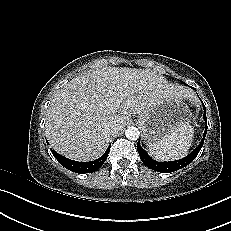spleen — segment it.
Masks as SVG:
<instances>
[{"mask_svg": "<svg viewBox=\"0 0 231 231\" xmlns=\"http://www.w3.org/2000/svg\"><path fill=\"white\" fill-rule=\"evenodd\" d=\"M194 139V128L184 125L156 143L148 145L151 155L161 161L178 160L185 157Z\"/></svg>", "mask_w": 231, "mask_h": 231, "instance_id": "obj_1", "label": "spleen"}]
</instances>
